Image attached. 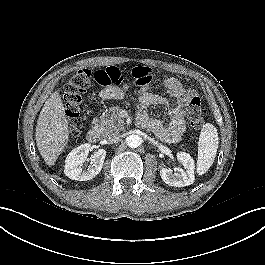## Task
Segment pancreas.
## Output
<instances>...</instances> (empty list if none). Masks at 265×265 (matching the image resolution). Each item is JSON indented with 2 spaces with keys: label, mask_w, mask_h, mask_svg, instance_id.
Wrapping results in <instances>:
<instances>
[{
  "label": "pancreas",
  "mask_w": 265,
  "mask_h": 265,
  "mask_svg": "<svg viewBox=\"0 0 265 265\" xmlns=\"http://www.w3.org/2000/svg\"><path fill=\"white\" fill-rule=\"evenodd\" d=\"M119 111L120 109L118 107H112L97 121L96 126L100 129L103 136H107L113 132L119 133L123 130L125 123L118 116Z\"/></svg>",
  "instance_id": "1"
}]
</instances>
